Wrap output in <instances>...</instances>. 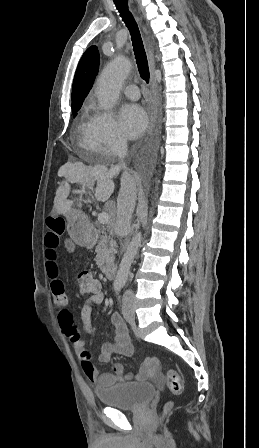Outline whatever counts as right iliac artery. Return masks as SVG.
Returning a JSON list of instances; mask_svg holds the SVG:
<instances>
[{
  "instance_id": "obj_1",
  "label": "right iliac artery",
  "mask_w": 259,
  "mask_h": 448,
  "mask_svg": "<svg viewBox=\"0 0 259 448\" xmlns=\"http://www.w3.org/2000/svg\"><path fill=\"white\" fill-rule=\"evenodd\" d=\"M114 288H115L116 292H119V291L121 290V288H122V284H120V283H116V284L114 285Z\"/></svg>"
}]
</instances>
